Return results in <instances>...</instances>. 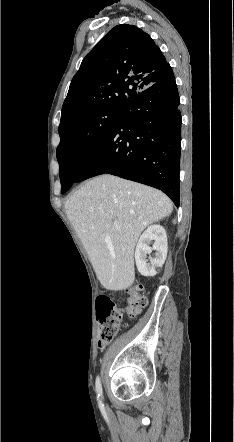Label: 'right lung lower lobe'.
Here are the masks:
<instances>
[{
    "label": "right lung lower lobe",
    "mask_w": 234,
    "mask_h": 442,
    "mask_svg": "<svg viewBox=\"0 0 234 442\" xmlns=\"http://www.w3.org/2000/svg\"><path fill=\"white\" fill-rule=\"evenodd\" d=\"M178 106V90L169 65L154 84L121 106L108 135L72 168V183L112 174L160 189L178 207L181 142Z\"/></svg>",
    "instance_id": "obj_1"
}]
</instances>
